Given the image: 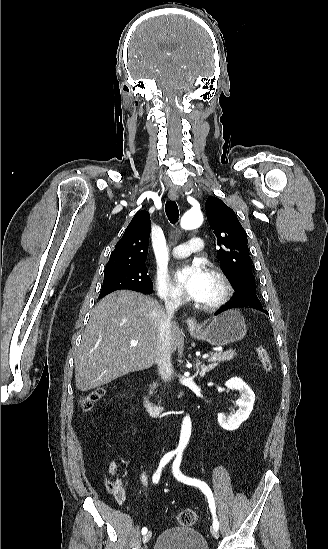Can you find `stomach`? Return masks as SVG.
Masks as SVG:
<instances>
[{
  "label": "stomach",
  "instance_id": "0dacf381",
  "mask_svg": "<svg viewBox=\"0 0 328 549\" xmlns=\"http://www.w3.org/2000/svg\"><path fill=\"white\" fill-rule=\"evenodd\" d=\"M190 331L195 333L197 339L207 341L215 347H223V345L241 341L247 333L244 317L237 309H229V311H224L221 315L213 317L211 323L201 331H194L193 327H190Z\"/></svg>",
  "mask_w": 328,
  "mask_h": 549
}]
</instances>
